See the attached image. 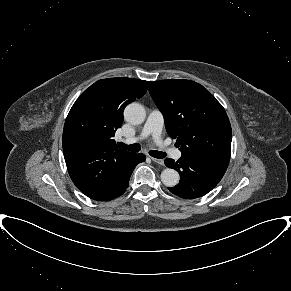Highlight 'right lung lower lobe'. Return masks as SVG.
I'll return each mask as SVG.
<instances>
[{"label": "right lung lower lobe", "mask_w": 291, "mask_h": 291, "mask_svg": "<svg viewBox=\"0 0 291 291\" xmlns=\"http://www.w3.org/2000/svg\"><path fill=\"white\" fill-rule=\"evenodd\" d=\"M145 159V155L133 153L118 167L112 180L109 181L101 191L90 196V198L97 201H109L121 196L129 185V179L133 169L138 163L145 161Z\"/></svg>", "instance_id": "right-lung-lower-lobe-1"}]
</instances>
